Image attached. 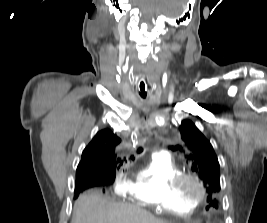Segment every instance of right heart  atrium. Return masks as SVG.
Returning <instances> with one entry per match:
<instances>
[{"label": "right heart atrium", "instance_id": "1", "mask_svg": "<svg viewBox=\"0 0 267 223\" xmlns=\"http://www.w3.org/2000/svg\"><path fill=\"white\" fill-rule=\"evenodd\" d=\"M126 185H127V182L123 178V176L121 174H117L115 176V180H114V184H113L114 191L117 194H122L125 191Z\"/></svg>", "mask_w": 267, "mask_h": 223}]
</instances>
